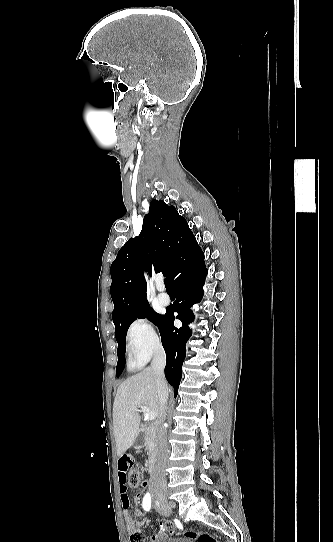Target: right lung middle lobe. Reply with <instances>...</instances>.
<instances>
[{
	"mask_svg": "<svg viewBox=\"0 0 333 542\" xmlns=\"http://www.w3.org/2000/svg\"><path fill=\"white\" fill-rule=\"evenodd\" d=\"M163 317L164 315L156 313L149 305H147L113 321L115 325V337L118 342V363L116 368L117 377L121 375L125 365V338L130 324L137 318H147L156 326H159Z\"/></svg>",
	"mask_w": 333,
	"mask_h": 542,
	"instance_id": "obj_1",
	"label": "right lung middle lobe"
}]
</instances>
